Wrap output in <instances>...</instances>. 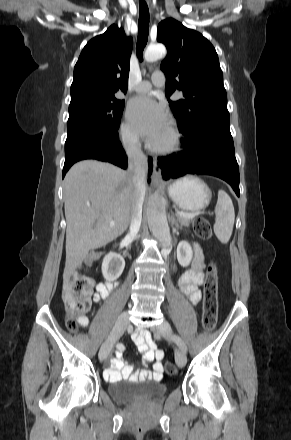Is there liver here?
Segmentation results:
<instances>
[{"label":"liver","mask_w":291,"mask_h":440,"mask_svg":"<svg viewBox=\"0 0 291 440\" xmlns=\"http://www.w3.org/2000/svg\"><path fill=\"white\" fill-rule=\"evenodd\" d=\"M134 198L129 172L96 160L74 164L64 179L66 263L70 278L89 250L105 246L127 229ZM114 226H110V222Z\"/></svg>","instance_id":"6515ba94"}]
</instances>
